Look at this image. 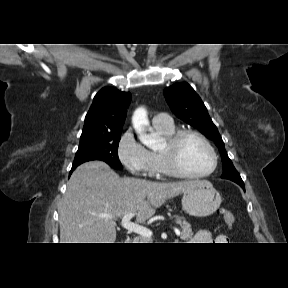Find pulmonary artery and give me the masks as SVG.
I'll use <instances>...</instances> for the list:
<instances>
[{
	"label": "pulmonary artery",
	"instance_id": "e3ab8cb5",
	"mask_svg": "<svg viewBox=\"0 0 288 288\" xmlns=\"http://www.w3.org/2000/svg\"><path fill=\"white\" fill-rule=\"evenodd\" d=\"M173 124L172 119L167 113H159L153 118V125L159 127H169Z\"/></svg>",
	"mask_w": 288,
	"mask_h": 288
}]
</instances>
